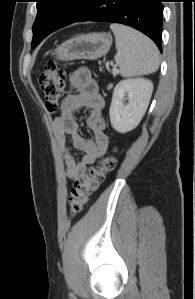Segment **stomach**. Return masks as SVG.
<instances>
[{
  "mask_svg": "<svg viewBox=\"0 0 195 299\" xmlns=\"http://www.w3.org/2000/svg\"><path fill=\"white\" fill-rule=\"evenodd\" d=\"M111 44L112 40L106 33L80 34L59 45L54 55L61 61L96 60L108 53Z\"/></svg>",
  "mask_w": 195,
  "mask_h": 299,
  "instance_id": "0dacf381",
  "label": "stomach"
}]
</instances>
